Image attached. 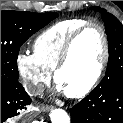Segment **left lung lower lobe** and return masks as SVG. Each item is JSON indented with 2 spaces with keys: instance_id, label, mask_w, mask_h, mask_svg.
<instances>
[{
  "instance_id": "obj_1",
  "label": "left lung lower lobe",
  "mask_w": 123,
  "mask_h": 123,
  "mask_svg": "<svg viewBox=\"0 0 123 123\" xmlns=\"http://www.w3.org/2000/svg\"><path fill=\"white\" fill-rule=\"evenodd\" d=\"M72 123H123V81L96 87L70 109Z\"/></svg>"
}]
</instances>
